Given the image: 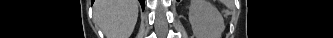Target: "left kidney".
I'll return each mask as SVG.
<instances>
[{
  "instance_id": "obj_1",
  "label": "left kidney",
  "mask_w": 333,
  "mask_h": 38,
  "mask_svg": "<svg viewBox=\"0 0 333 38\" xmlns=\"http://www.w3.org/2000/svg\"><path fill=\"white\" fill-rule=\"evenodd\" d=\"M188 16L196 38H221L224 19L213 4L207 0H191Z\"/></svg>"
}]
</instances>
